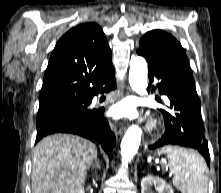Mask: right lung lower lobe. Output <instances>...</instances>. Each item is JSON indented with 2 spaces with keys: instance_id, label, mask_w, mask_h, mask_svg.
<instances>
[{
  "instance_id": "obj_1",
  "label": "right lung lower lobe",
  "mask_w": 221,
  "mask_h": 193,
  "mask_svg": "<svg viewBox=\"0 0 221 193\" xmlns=\"http://www.w3.org/2000/svg\"><path fill=\"white\" fill-rule=\"evenodd\" d=\"M115 88L116 81L113 69L103 76L95 85L93 93L88 98V104H90L95 95L103 92H109ZM103 113V108L98 110L94 109L91 110L89 116L86 118H82L49 130L38 131L36 142L41 138L53 133H72L90 139L93 142H99L102 148L108 154H111L116 143V137L110 130L107 120L104 119Z\"/></svg>"
}]
</instances>
